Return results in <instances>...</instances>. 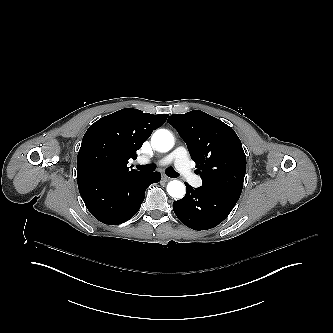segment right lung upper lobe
I'll return each mask as SVG.
<instances>
[{
	"label": "right lung upper lobe",
	"mask_w": 333,
	"mask_h": 333,
	"mask_svg": "<svg viewBox=\"0 0 333 333\" xmlns=\"http://www.w3.org/2000/svg\"><path fill=\"white\" fill-rule=\"evenodd\" d=\"M168 114H146L122 109L93 123L86 131L77 156L78 178L105 174L124 175L136 170L127 167L136 151L161 126Z\"/></svg>",
	"instance_id": "cb5924a9"
}]
</instances>
